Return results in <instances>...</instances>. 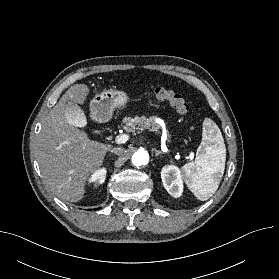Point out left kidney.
<instances>
[{"label":"left kidney","instance_id":"obj_1","mask_svg":"<svg viewBox=\"0 0 279 279\" xmlns=\"http://www.w3.org/2000/svg\"><path fill=\"white\" fill-rule=\"evenodd\" d=\"M161 179L167 192L178 198L183 193V181L181 171L177 166L167 165L162 168Z\"/></svg>","mask_w":279,"mask_h":279}]
</instances>
